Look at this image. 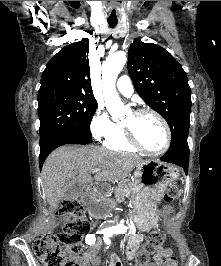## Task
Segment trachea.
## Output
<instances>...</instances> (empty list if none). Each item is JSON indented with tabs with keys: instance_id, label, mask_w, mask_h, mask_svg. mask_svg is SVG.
Listing matches in <instances>:
<instances>
[{
	"instance_id": "trachea-1",
	"label": "trachea",
	"mask_w": 221,
	"mask_h": 266,
	"mask_svg": "<svg viewBox=\"0 0 221 266\" xmlns=\"http://www.w3.org/2000/svg\"><path fill=\"white\" fill-rule=\"evenodd\" d=\"M118 21L108 20V24L111 28H114L117 25Z\"/></svg>"
}]
</instances>
